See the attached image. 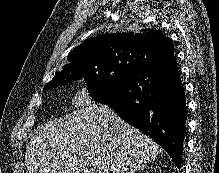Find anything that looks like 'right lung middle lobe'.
Instances as JSON below:
<instances>
[{
  "mask_svg": "<svg viewBox=\"0 0 219 173\" xmlns=\"http://www.w3.org/2000/svg\"><path fill=\"white\" fill-rule=\"evenodd\" d=\"M136 67L137 66L132 63H117L102 65L85 75H71V71L64 72L61 76L57 77L52 84L45 86L44 91L51 87L62 86L65 83L84 78L90 96H92L96 102L104 104L121 80L132 73Z\"/></svg>",
  "mask_w": 219,
  "mask_h": 173,
  "instance_id": "obj_1",
  "label": "right lung middle lobe"
}]
</instances>
